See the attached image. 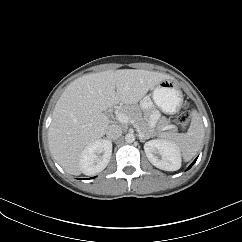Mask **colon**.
<instances>
[{
  "label": "colon",
  "mask_w": 242,
  "mask_h": 242,
  "mask_svg": "<svg viewBox=\"0 0 242 242\" xmlns=\"http://www.w3.org/2000/svg\"><path fill=\"white\" fill-rule=\"evenodd\" d=\"M190 121V114L185 108L177 117L176 123L181 127H186Z\"/></svg>",
  "instance_id": "1"
}]
</instances>
